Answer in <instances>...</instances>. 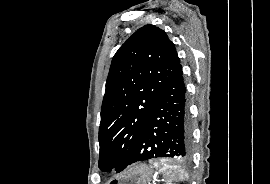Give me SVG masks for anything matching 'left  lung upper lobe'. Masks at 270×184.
Masks as SVG:
<instances>
[{
  "instance_id": "obj_1",
  "label": "left lung upper lobe",
  "mask_w": 270,
  "mask_h": 184,
  "mask_svg": "<svg viewBox=\"0 0 270 184\" xmlns=\"http://www.w3.org/2000/svg\"><path fill=\"white\" fill-rule=\"evenodd\" d=\"M180 65L174 44L154 25L138 29L112 59L101 109L99 168L122 171L166 84Z\"/></svg>"
}]
</instances>
